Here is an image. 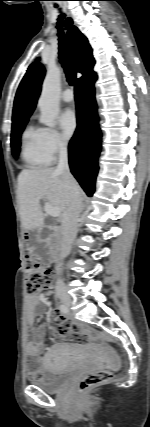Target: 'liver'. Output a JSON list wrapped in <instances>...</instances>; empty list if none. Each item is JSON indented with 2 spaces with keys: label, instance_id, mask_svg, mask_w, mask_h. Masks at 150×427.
<instances>
[{
  "label": "liver",
  "instance_id": "obj_1",
  "mask_svg": "<svg viewBox=\"0 0 150 427\" xmlns=\"http://www.w3.org/2000/svg\"><path fill=\"white\" fill-rule=\"evenodd\" d=\"M77 187L80 191L78 184ZM17 195L22 226L25 230L43 227L44 213L40 206L41 199L59 208L61 212L66 208L64 178L54 168L22 170L18 176Z\"/></svg>",
  "mask_w": 150,
  "mask_h": 427
}]
</instances>
